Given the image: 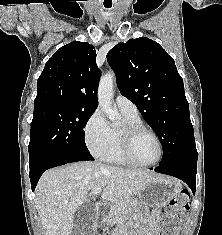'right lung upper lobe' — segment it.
<instances>
[{
    "instance_id": "1",
    "label": "right lung upper lobe",
    "mask_w": 222,
    "mask_h": 235,
    "mask_svg": "<svg viewBox=\"0 0 222 235\" xmlns=\"http://www.w3.org/2000/svg\"><path fill=\"white\" fill-rule=\"evenodd\" d=\"M100 76L94 46L73 41L61 47L38 78L34 112L55 105L95 111Z\"/></svg>"
}]
</instances>
